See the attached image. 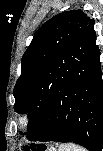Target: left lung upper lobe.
I'll return each instance as SVG.
<instances>
[{"label":"left lung upper lobe","mask_w":103,"mask_h":151,"mask_svg":"<svg viewBox=\"0 0 103 151\" xmlns=\"http://www.w3.org/2000/svg\"><path fill=\"white\" fill-rule=\"evenodd\" d=\"M93 27V19L81 10H71L52 17L38 29L22 57L21 75L13 90L17 112H27L34 79L43 72L56 79L53 68L57 58Z\"/></svg>","instance_id":"1"}]
</instances>
